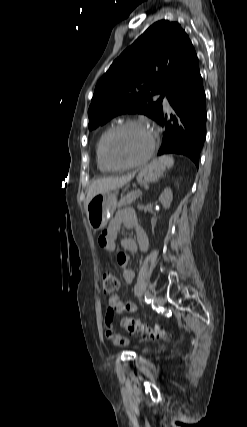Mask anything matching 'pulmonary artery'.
<instances>
[{
	"label": "pulmonary artery",
	"instance_id": "obj_1",
	"mask_svg": "<svg viewBox=\"0 0 247 427\" xmlns=\"http://www.w3.org/2000/svg\"><path fill=\"white\" fill-rule=\"evenodd\" d=\"M163 104H164L166 107H169V102H168V99H167L166 97H163Z\"/></svg>",
	"mask_w": 247,
	"mask_h": 427
}]
</instances>
